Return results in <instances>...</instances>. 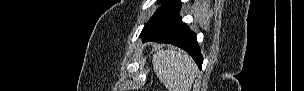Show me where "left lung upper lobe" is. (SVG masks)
Listing matches in <instances>:
<instances>
[{"mask_svg":"<svg viewBox=\"0 0 304 91\" xmlns=\"http://www.w3.org/2000/svg\"><path fill=\"white\" fill-rule=\"evenodd\" d=\"M158 2H164L163 5L155 12V14L150 18V20L146 23V25L144 26L140 37L147 32L152 25L155 23L156 19L158 18V16L160 15V13L162 12V10L164 9V7L168 4L169 0H158Z\"/></svg>","mask_w":304,"mask_h":91,"instance_id":"5c2ea615","label":"left lung upper lobe"}]
</instances>
